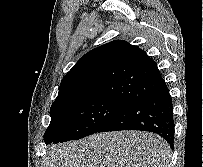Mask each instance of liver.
Segmentation results:
<instances>
[{
    "mask_svg": "<svg viewBox=\"0 0 203 167\" xmlns=\"http://www.w3.org/2000/svg\"><path fill=\"white\" fill-rule=\"evenodd\" d=\"M171 149L156 134L106 132L53 146L44 167H170Z\"/></svg>",
    "mask_w": 203,
    "mask_h": 167,
    "instance_id": "liver-1",
    "label": "liver"
}]
</instances>
